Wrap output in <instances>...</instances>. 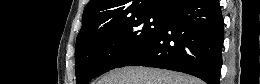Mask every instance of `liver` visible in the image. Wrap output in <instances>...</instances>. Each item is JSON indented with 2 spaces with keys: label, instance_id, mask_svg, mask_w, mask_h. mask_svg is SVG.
I'll return each instance as SVG.
<instances>
[{
  "label": "liver",
  "instance_id": "1",
  "mask_svg": "<svg viewBox=\"0 0 260 84\" xmlns=\"http://www.w3.org/2000/svg\"><path fill=\"white\" fill-rule=\"evenodd\" d=\"M96 84H204L200 79L151 67H123L105 74Z\"/></svg>",
  "mask_w": 260,
  "mask_h": 84
}]
</instances>
